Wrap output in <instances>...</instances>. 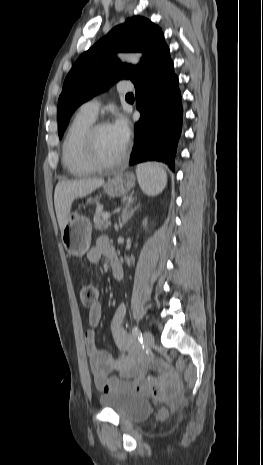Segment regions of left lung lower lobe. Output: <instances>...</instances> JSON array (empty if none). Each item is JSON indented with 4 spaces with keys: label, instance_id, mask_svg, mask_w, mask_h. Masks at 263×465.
I'll return each mask as SVG.
<instances>
[{
    "label": "left lung lower lobe",
    "instance_id": "obj_1",
    "mask_svg": "<svg viewBox=\"0 0 263 465\" xmlns=\"http://www.w3.org/2000/svg\"><path fill=\"white\" fill-rule=\"evenodd\" d=\"M132 82L141 117L135 124L136 145L130 164L158 160L174 170L183 108L178 77L166 44L156 51Z\"/></svg>",
    "mask_w": 263,
    "mask_h": 465
}]
</instances>
